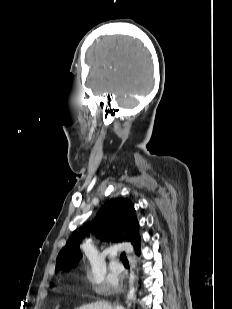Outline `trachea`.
Returning <instances> with one entry per match:
<instances>
[{
    "label": "trachea",
    "instance_id": "obj_1",
    "mask_svg": "<svg viewBox=\"0 0 232 309\" xmlns=\"http://www.w3.org/2000/svg\"><path fill=\"white\" fill-rule=\"evenodd\" d=\"M120 260L123 262V264H129V261H128L127 257H126L125 252L121 253Z\"/></svg>",
    "mask_w": 232,
    "mask_h": 309
}]
</instances>
